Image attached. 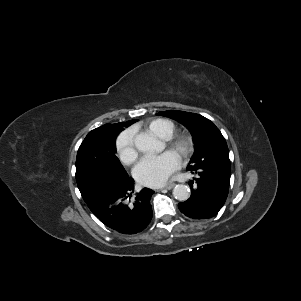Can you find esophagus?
Here are the masks:
<instances>
[{
  "mask_svg": "<svg viewBox=\"0 0 301 301\" xmlns=\"http://www.w3.org/2000/svg\"><path fill=\"white\" fill-rule=\"evenodd\" d=\"M174 186H175V183H171V184H168V185H166V186H163L161 189H168V190H170V189H172Z\"/></svg>",
  "mask_w": 301,
  "mask_h": 301,
  "instance_id": "34e87169",
  "label": "esophagus"
}]
</instances>
